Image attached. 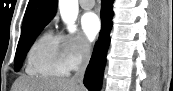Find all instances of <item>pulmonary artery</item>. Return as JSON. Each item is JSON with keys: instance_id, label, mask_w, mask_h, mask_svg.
Wrapping results in <instances>:
<instances>
[{"instance_id": "obj_1", "label": "pulmonary artery", "mask_w": 173, "mask_h": 91, "mask_svg": "<svg viewBox=\"0 0 173 91\" xmlns=\"http://www.w3.org/2000/svg\"><path fill=\"white\" fill-rule=\"evenodd\" d=\"M79 3L83 9L89 10L94 7L95 1L94 0H81Z\"/></svg>"}]
</instances>
